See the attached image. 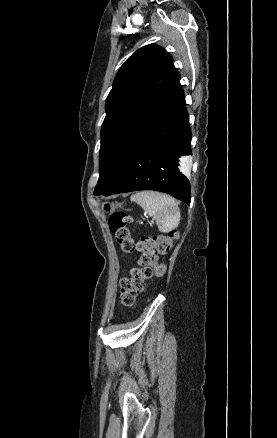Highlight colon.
I'll return each mask as SVG.
<instances>
[{"instance_id": "obj_1", "label": "colon", "mask_w": 277, "mask_h": 438, "mask_svg": "<svg viewBox=\"0 0 277 438\" xmlns=\"http://www.w3.org/2000/svg\"><path fill=\"white\" fill-rule=\"evenodd\" d=\"M132 218L124 212L114 213L109 218V227L117 243L127 253H137L141 258L139 267L132 268L129 277L120 279V301L123 305H133L136 297L143 292L144 282L153 272L159 276L164 275L166 266L158 263L159 254L166 253L177 238L175 231H170L159 236L140 235L131 237L128 225Z\"/></svg>"}]
</instances>
